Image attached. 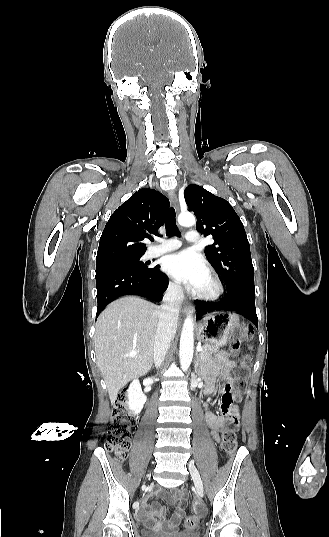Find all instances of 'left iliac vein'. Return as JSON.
Listing matches in <instances>:
<instances>
[{
	"instance_id": "left-iliac-vein-1",
	"label": "left iliac vein",
	"mask_w": 329,
	"mask_h": 537,
	"mask_svg": "<svg viewBox=\"0 0 329 537\" xmlns=\"http://www.w3.org/2000/svg\"><path fill=\"white\" fill-rule=\"evenodd\" d=\"M189 471L191 473V476H192V479L194 481V484H195V487L197 489V492L202 493L203 492V484H202V481H201V477H200L199 472H198V470L195 467L193 462L189 463Z\"/></svg>"
}]
</instances>
